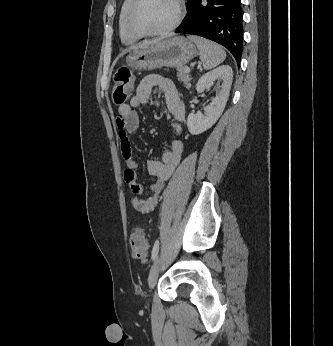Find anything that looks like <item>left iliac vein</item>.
Here are the masks:
<instances>
[{
  "label": "left iliac vein",
  "mask_w": 333,
  "mask_h": 346,
  "mask_svg": "<svg viewBox=\"0 0 333 346\" xmlns=\"http://www.w3.org/2000/svg\"><path fill=\"white\" fill-rule=\"evenodd\" d=\"M160 268H161V256L159 255L156 258L149 274L148 284L150 288H153L155 286L159 272H160Z\"/></svg>",
  "instance_id": "obj_1"
}]
</instances>
